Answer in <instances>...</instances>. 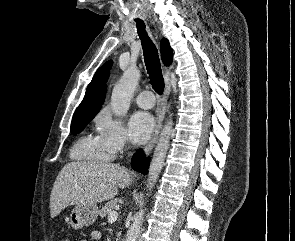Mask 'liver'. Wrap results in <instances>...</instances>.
I'll use <instances>...</instances> for the list:
<instances>
[{
	"mask_svg": "<svg viewBox=\"0 0 295 241\" xmlns=\"http://www.w3.org/2000/svg\"><path fill=\"white\" fill-rule=\"evenodd\" d=\"M125 167L105 162H70L59 172L50 195L54 218L69 205H94L113 199L118 188L132 185Z\"/></svg>",
	"mask_w": 295,
	"mask_h": 241,
	"instance_id": "obj_1",
	"label": "liver"
}]
</instances>
